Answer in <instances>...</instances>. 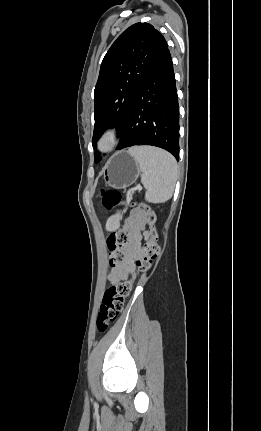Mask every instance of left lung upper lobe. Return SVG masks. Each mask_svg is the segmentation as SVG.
I'll use <instances>...</instances> for the list:
<instances>
[{"label": "left lung upper lobe", "mask_w": 261, "mask_h": 431, "mask_svg": "<svg viewBox=\"0 0 261 431\" xmlns=\"http://www.w3.org/2000/svg\"><path fill=\"white\" fill-rule=\"evenodd\" d=\"M167 48L162 34L147 23L130 26L112 44L102 61L94 90V148L107 128L116 127L121 136L135 95ZM99 156L95 152L96 162Z\"/></svg>", "instance_id": "5c2ea615"}]
</instances>
